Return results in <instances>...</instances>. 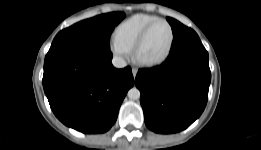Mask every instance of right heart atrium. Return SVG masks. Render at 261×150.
<instances>
[{
    "instance_id": "obj_1",
    "label": "right heart atrium",
    "mask_w": 261,
    "mask_h": 150,
    "mask_svg": "<svg viewBox=\"0 0 261 150\" xmlns=\"http://www.w3.org/2000/svg\"><path fill=\"white\" fill-rule=\"evenodd\" d=\"M110 49H111L112 53L114 54V56L117 57L118 59L127 58L129 55V52H130L125 46L120 44L115 39L112 40V42L110 44Z\"/></svg>"
}]
</instances>
